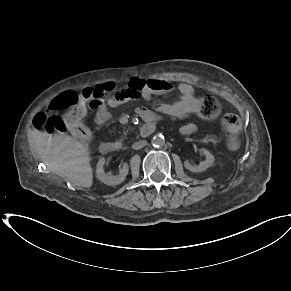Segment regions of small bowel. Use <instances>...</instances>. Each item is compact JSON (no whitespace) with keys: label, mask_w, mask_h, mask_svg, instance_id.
<instances>
[{"label":"small bowel","mask_w":291,"mask_h":291,"mask_svg":"<svg viewBox=\"0 0 291 291\" xmlns=\"http://www.w3.org/2000/svg\"><path fill=\"white\" fill-rule=\"evenodd\" d=\"M173 89L172 84L164 79H144L141 77L131 78L124 89H116L113 95L100 97L89 103L90 108L95 110V122L98 125L106 124L110 118L109 108H115L123 103L137 98L150 99L153 95L164 94ZM180 98H196L191 85L181 83L178 86ZM192 107H179L178 100L173 103H160L157 107L159 112L174 118H184L190 114ZM158 111H150L146 107H139L136 113L144 120L156 122L161 114ZM196 130L194 123H187L181 128L182 134H191Z\"/></svg>","instance_id":"c3829d8e"}]
</instances>
